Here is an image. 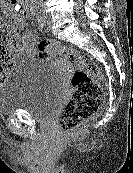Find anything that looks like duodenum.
Listing matches in <instances>:
<instances>
[{
  "mask_svg": "<svg viewBox=\"0 0 133 173\" xmlns=\"http://www.w3.org/2000/svg\"><path fill=\"white\" fill-rule=\"evenodd\" d=\"M12 4L19 5L21 7L22 13L27 16H32V10L30 4L27 0H11Z\"/></svg>",
  "mask_w": 133,
  "mask_h": 173,
  "instance_id": "obj_1",
  "label": "duodenum"
}]
</instances>
